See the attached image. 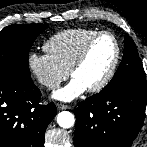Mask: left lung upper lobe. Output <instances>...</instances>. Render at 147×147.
<instances>
[{
	"label": "left lung upper lobe",
	"mask_w": 147,
	"mask_h": 147,
	"mask_svg": "<svg viewBox=\"0 0 147 147\" xmlns=\"http://www.w3.org/2000/svg\"><path fill=\"white\" fill-rule=\"evenodd\" d=\"M123 59L112 80L101 90L108 92L123 87L147 89L146 76L136 46L129 35H125Z\"/></svg>",
	"instance_id": "left-lung-upper-lobe-1"
}]
</instances>
